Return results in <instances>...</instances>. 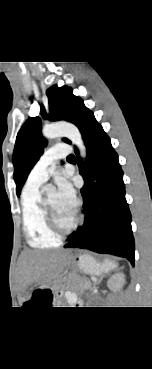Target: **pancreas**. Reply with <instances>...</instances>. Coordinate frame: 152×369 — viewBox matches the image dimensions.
Listing matches in <instances>:
<instances>
[{
	"label": "pancreas",
	"instance_id": "pancreas-1",
	"mask_svg": "<svg viewBox=\"0 0 152 369\" xmlns=\"http://www.w3.org/2000/svg\"><path fill=\"white\" fill-rule=\"evenodd\" d=\"M91 287V282L86 279H78V285L77 288L80 290V292H83L85 290H88Z\"/></svg>",
	"mask_w": 152,
	"mask_h": 369
}]
</instances>
